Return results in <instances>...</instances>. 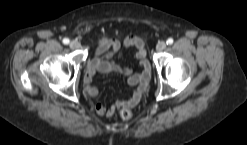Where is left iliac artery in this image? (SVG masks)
Returning a JSON list of instances; mask_svg holds the SVG:
<instances>
[{
	"label": "left iliac artery",
	"mask_w": 247,
	"mask_h": 145,
	"mask_svg": "<svg viewBox=\"0 0 247 145\" xmlns=\"http://www.w3.org/2000/svg\"><path fill=\"white\" fill-rule=\"evenodd\" d=\"M167 44H168V45L173 44V39H172V38H168V39H167Z\"/></svg>",
	"instance_id": "left-iliac-artery-1"
}]
</instances>
